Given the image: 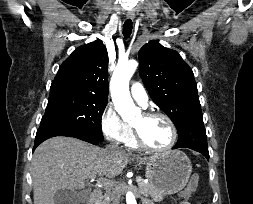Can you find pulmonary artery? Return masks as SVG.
I'll list each match as a JSON object with an SVG mask.
<instances>
[{
  "label": "pulmonary artery",
  "instance_id": "1",
  "mask_svg": "<svg viewBox=\"0 0 253 204\" xmlns=\"http://www.w3.org/2000/svg\"><path fill=\"white\" fill-rule=\"evenodd\" d=\"M130 93L133 99L142 107H146L148 104V94L144 87L139 82H135L132 84L130 88Z\"/></svg>",
  "mask_w": 253,
  "mask_h": 204
}]
</instances>
